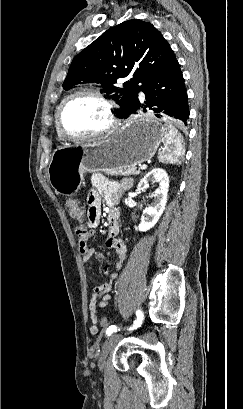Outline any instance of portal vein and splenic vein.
<instances>
[{
  "label": "portal vein and splenic vein",
  "mask_w": 243,
  "mask_h": 409,
  "mask_svg": "<svg viewBox=\"0 0 243 409\" xmlns=\"http://www.w3.org/2000/svg\"><path fill=\"white\" fill-rule=\"evenodd\" d=\"M140 168H141V169H146V168H147V165H145V164L140 165Z\"/></svg>",
  "instance_id": "obj_1"
}]
</instances>
